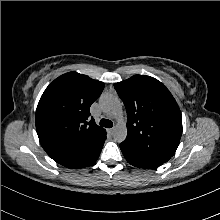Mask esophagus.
<instances>
[{
	"instance_id": "34e87169",
	"label": "esophagus",
	"mask_w": 220,
	"mask_h": 220,
	"mask_svg": "<svg viewBox=\"0 0 220 220\" xmlns=\"http://www.w3.org/2000/svg\"><path fill=\"white\" fill-rule=\"evenodd\" d=\"M109 133H113L114 132V128L108 129Z\"/></svg>"
}]
</instances>
